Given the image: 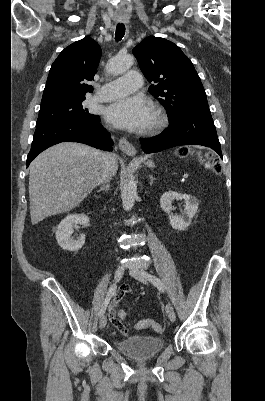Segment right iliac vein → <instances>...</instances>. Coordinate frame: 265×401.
<instances>
[{
    "mask_svg": "<svg viewBox=\"0 0 265 401\" xmlns=\"http://www.w3.org/2000/svg\"><path fill=\"white\" fill-rule=\"evenodd\" d=\"M123 275H124V268L122 266H120L115 270V274H114L115 281L118 282L123 277ZM106 324H107V319H106V316L103 315L99 322L100 329H104Z\"/></svg>",
    "mask_w": 265,
    "mask_h": 401,
    "instance_id": "obj_1",
    "label": "right iliac vein"
}]
</instances>
